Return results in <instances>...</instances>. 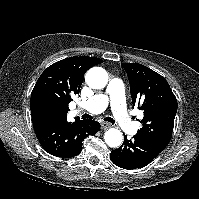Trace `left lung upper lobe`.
I'll list each match as a JSON object with an SVG mask.
<instances>
[{"label": "left lung upper lobe", "instance_id": "obj_1", "mask_svg": "<svg viewBox=\"0 0 199 199\" xmlns=\"http://www.w3.org/2000/svg\"><path fill=\"white\" fill-rule=\"evenodd\" d=\"M130 82L133 106L144 111L137 135L165 148L170 141L177 100L164 77L137 63H122Z\"/></svg>", "mask_w": 199, "mask_h": 199}]
</instances>
